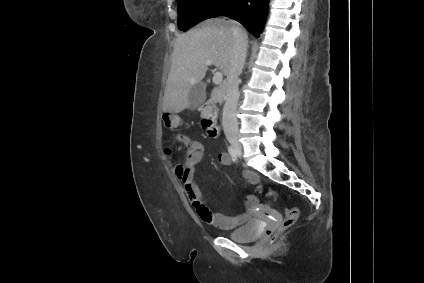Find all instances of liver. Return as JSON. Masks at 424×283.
Segmentation results:
<instances>
[{
    "label": "liver",
    "mask_w": 424,
    "mask_h": 283,
    "mask_svg": "<svg viewBox=\"0 0 424 283\" xmlns=\"http://www.w3.org/2000/svg\"><path fill=\"white\" fill-rule=\"evenodd\" d=\"M231 22L210 18L177 37L164 92L163 111L180 113L191 104L189 92L204 78L207 60L225 76L229 73L234 38Z\"/></svg>",
    "instance_id": "liver-1"
}]
</instances>
